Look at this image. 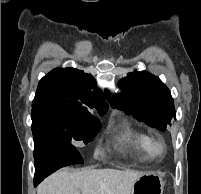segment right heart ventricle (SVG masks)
<instances>
[{"mask_svg": "<svg viewBox=\"0 0 201 194\" xmlns=\"http://www.w3.org/2000/svg\"><path fill=\"white\" fill-rule=\"evenodd\" d=\"M118 141L121 145L137 151L144 160H152L155 157L150 150L151 136L129 123L125 124Z\"/></svg>", "mask_w": 201, "mask_h": 194, "instance_id": "e07e8e85", "label": "right heart ventricle"}]
</instances>
